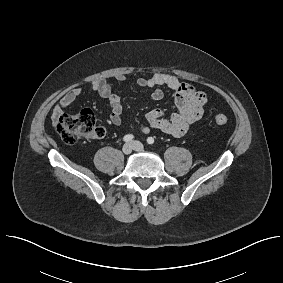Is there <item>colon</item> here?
<instances>
[{
	"mask_svg": "<svg viewBox=\"0 0 283 283\" xmlns=\"http://www.w3.org/2000/svg\"><path fill=\"white\" fill-rule=\"evenodd\" d=\"M214 121L223 126L228 123V117L224 114H216ZM56 130L68 145L75 144L80 139L101 138L105 131L96 122L94 114L89 111H81L73 114H64L56 121Z\"/></svg>",
	"mask_w": 283,
	"mask_h": 283,
	"instance_id": "1",
	"label": "colon"
}]
</instances>
